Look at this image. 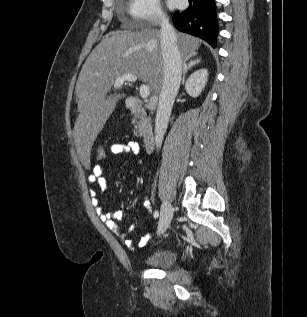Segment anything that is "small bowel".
Wrapping results in <instances>:
<instances>
[{
    "mask_svg": "<svg viewBox=\"0 0 307 317\" xmlns=\"http://www.w3.org/2000/svg\"><path fill=\"white\" fill-rule=\"evenodd\" d=\"M110 151L112 154L119 155V154H133L139 155L141 152V147L138 142L136 141H128L125 143H115L111 146ZM89 182L92 184H96L101 191L107 192L109 190L107 180H106V173L102 165L95 164L92 167V172L89 176ZM93 204L96 207L97 214L99 215L100 219L109 226V228L117 235L118 238L124 240L126 246L134 250L136 245L127 240V234L123 231H120L118 227L115 225V221H119L123 218V211L122 209L113 211V212H105L99 206V200L96 196V192H93ZM151 239V235H147L144 237L139 245L145 246Z\"/></svg>",
    "mask_w": 307,
    "mask_h": 317,
    "instance_id": "1",
    "label": "small bowel"
}]
</instances>
